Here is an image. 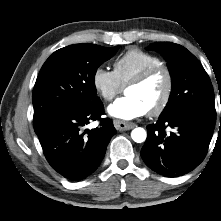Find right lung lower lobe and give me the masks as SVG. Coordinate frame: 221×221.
<instances>
[{"label":"right lung lower lobe","instance_id":"1","mask_svg":"<svg viewBox=\"0 0 221 221\" xmlns=\"http://www.w3.org/2000/svg\"><path fill=\"white\" fill-rule=\"evenodd\" d=\"M103 110L99 100L85 109L59 112L35 130L48 163L66 179L80 181L99 167L116 129L109 119L90 131L83 126L100 119Z\"/></svg>","mask_w":221,"mask_h":221}]
</instances>
